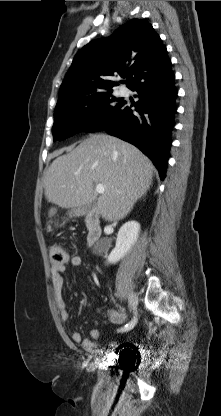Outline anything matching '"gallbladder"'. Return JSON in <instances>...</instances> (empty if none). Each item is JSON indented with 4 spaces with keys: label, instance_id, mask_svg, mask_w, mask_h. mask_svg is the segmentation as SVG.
<instances>
[{
    "label": "gallbladder",
    "instance_id": "bac80fb5",
    "mask_svg": "<svg viewBox=\"0 0 221 416\" xmlns=\"http://www.w3.org/2000/svg\"><path fill=\"white\" fill-rule=\"evenodd\" d=\"M94 201L93 202H91L90 204H88V205H86V206H84L83 207V211L85 212V213H87L90 209H91V207L94 205Z\"/></svg>",
    "mask_w": 221,
    "mask_h": 416
}]
</instances>
